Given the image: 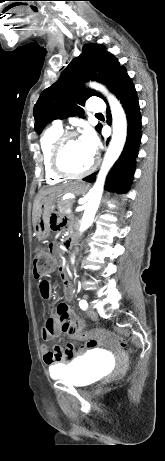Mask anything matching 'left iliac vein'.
Returning a JSON list of instances; mask_svg holds the SVG:
<instances>
[{
    "label": "left iliac vein",
    "mask_w": 165,
    "mask_h": 461,
    "mask_svg": "<svg viewBox=\"0 0 165 461\" xmlns=\"http://www.w3.org/2000/svg\"><path fill=\"white\" fill-rule=\"evenodd\" d=\"M86 313L92 320H97L98 315H97L96 311L93 308H89L86 311Z\"/></svg>",
    "instance_id": "1"
}]
</instances>
